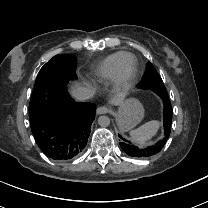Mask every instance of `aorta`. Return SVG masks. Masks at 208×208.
Masks as SVG:
<instances>
[{
  "instance_id": "aorta-1",
  "label": "aorta",
  "mask_w": 208,
  "mask_h": 208,
  "mask_svg": "<svg viewBox=\"0 0 208 208\" xmlns=\"http://www.w3.org/2000/svg\"><path fill=\"white\" fill-rule=\"evenodd\" d=\"M98 124L101 126V127H107L110 125V119L109 117L107 116H100L98 118Z\"/></svg>"
}]
</instances>
